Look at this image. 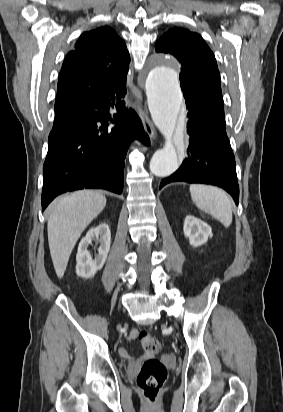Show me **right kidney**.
I'll list each match as a JSON object with an SVG mask.
<instances>
[{
    "mask_svg": "<svg viewBox=\"0 0 283 412\" xmlns=\"http://www.w3.org/2000/svg\"><path fill=\"white\" fill-rule=\"evenodd\" d=\"M92 241L100 243L98 254H95L94 258H92L88 251V246L92 244ZM110 244L111 233L106 223H101L97 227L90 229L78 246L76 274L86 279L93 277L104 266L110 250Z\"/></svg>",
    "mask_w": 283,
    "mask_h": 412,
    "instance_id": "ca27d5eb",
    "label": "right kidney"
}]
</instances>
